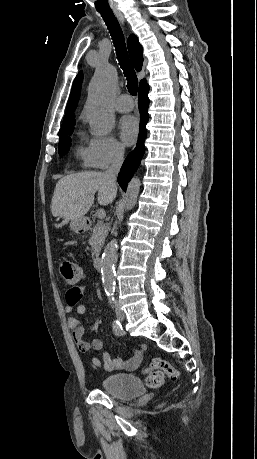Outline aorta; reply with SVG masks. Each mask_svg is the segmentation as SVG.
Masks as SVG:
<instances>
[{"mask_svg":"<svg viewBox=\"0 0 257 459\" xmlns=\"http://www.w3.org/2000/svg\"><path fill=\"white\" fill-rule=\"evenodd\" d=\"M117 71L109 64L97 67L89 85L86 117L95 136H106L112 130L115 118L111 101L117 87ZM140 189V180L132 178L127 187L125 208L130 210L136 204ZM117 240H111L104 249L101 261L102 282L106 295L112 297L115 291V260Z\"/></svg>","mask_w":257,"mask_h":459,"instance_id":"1","label":"aorta"}]
</instances>
